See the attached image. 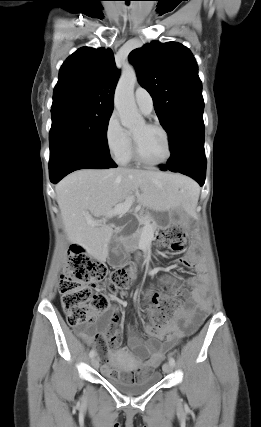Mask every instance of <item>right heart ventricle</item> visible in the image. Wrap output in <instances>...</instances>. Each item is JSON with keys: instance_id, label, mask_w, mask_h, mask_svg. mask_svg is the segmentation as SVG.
Wrapping results in <instances>:
<instances>
[{"instance_id": "right-heart-ventricle-1", "label": "right heart ventricle", "mask_w": 261, "mask_h": 427, "mask_svg": "<svg viewBox=\"0 0 261 427\" xmlns=\"http://www.w3.org/2000/svg\"><path fill=\"white\" fill-rule=\"evenodd\" d=\"M134 160L133 154H132V148L129 150L127 156L125 157V159L122 161V163L124 164H128L130 162H132Z\"/></svg>"}]
</instances>
